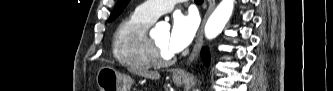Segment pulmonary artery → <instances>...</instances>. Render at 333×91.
<instances>
[{
    "label": "pulmonary artery",
    "mask_w": 333,
    "mask_h": 91,
    "mask_svg": "<svg viewBox=\"0 0 333 91\" xmlns=\"http://www.w3.org/2000/svg\"><path fill=\"white\" fill-rule=\"evenodd\" d=\"M177 1H147L137 7L142 15L155 21L160 15L171 11Z\"/></svg>",
    "instance_id": "pulmonary-artery-1"
}]
</instances>
